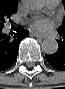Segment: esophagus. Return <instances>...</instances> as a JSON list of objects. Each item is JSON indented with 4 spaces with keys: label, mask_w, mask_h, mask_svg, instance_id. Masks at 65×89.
<instances>
[{
    "label": "esophagus",
    "mask_w": 65,
    "mask_h": 89,
    "mask_svg": "<svg viewBox=\"0 0 65 89\" xmlns=\"http://www.w3.org/2000/svg\"><path fill=\"white\" fill-rule=\"evenodd\" d=\"M30 34H31L32 36L37 37V38H40V39L46 38L45 35L40 34V33H37V32H31Z\"/></svg>",
    "instance_id": "esophagus-1"
}]
</instances>
